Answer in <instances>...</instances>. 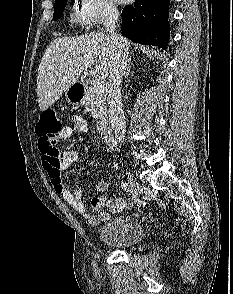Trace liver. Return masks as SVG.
<instances>
[{"label": "liver", "mask_w": 233, "mask_h": 294, "mask_svg": "<svg viewBox=\"0 0 233 294\" xmlns=\"http://www.w3.org/2000/svg\"><path fill=\"white\" fill-rule=\"evenodd\" d=\"M122 44L128 55L131 42L122 37ZM115 52L111 38L103 32L56 38L46 49L38 68L36 92L40 110L45 111L53 105L90 67L93 78H108Z\"/></svg>", "instance_id": "liver-1"}]
</instances>
